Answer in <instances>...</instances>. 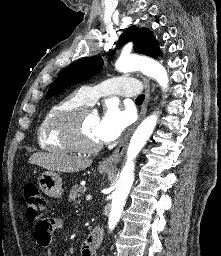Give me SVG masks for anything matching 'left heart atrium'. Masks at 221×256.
Segmentation results:
<instances>
[{
	"label": "left heart atrium",
	"mask_w": 221,
	"mask_h": 256,
	"mask_svg": "<svg viewBox=\"0 0 221 256\" xmlns=\"http://www.w3.org/2000/svg\"><path fill=\"white\" fill-rule=\"evenodd\" d=\"M132 113L122 110L116 103H108L99 118L95 135L99 142H112L116 140L132 122Z\"/></svg>",
	"instance_id": "left-heart-atrium-1"
}]
</instances>
